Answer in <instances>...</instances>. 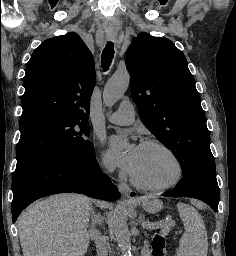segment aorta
Instances as JSON below:
<instances>
[{
	"instance_id": "1",
	"label": "aorta",
	"mask_w": 236,
	"mask_h": 256,
	"mask_svg": "<svg viewBox=\"0 0 236 256\" xmlns=\"http://www.w3.org/2000/svg\"><path fill=\"white\" fill-rule=\"evenodd\" d=\"M130 83L127 72L116 73L105 85L103 101L107 106L114 105L125 93ZM122 256H131L130 233L127 224V212L122 203H118L111 222Z\"/></svg>"
}]
</instances>
